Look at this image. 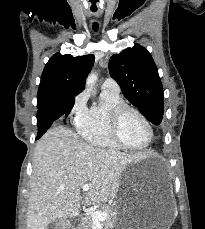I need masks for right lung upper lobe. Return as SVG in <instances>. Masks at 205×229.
I'll return each instance as SVG.
<instances>
[{
	"mask_svg": "<svg viewBox=\"0 0 205 229\" xmlns=\"http://www.w3.org/2000/svg\"><path fill=\"white\" fill-rule=\"evenodd\" d=\"M93 64L91 54L77 57L54 54L42 73L37 100L54 102L78 95L85 88V79Z\"/></svg>",
	"mask_w": 205,
	"mask_h": 229,
	"instance_id": "cb5924a9",
	"label": "right lung upper lobe"
}]
</instances>
